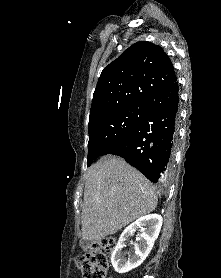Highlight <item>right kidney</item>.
<instances>
[{
    "label": "right kidney",
    "instance_id": "obj_1",
    "mask_svg": "<svg viewBox=\"0 0 221 278\" xmlns=\"http://www.w3.org/2000/svg\"><path fill=\"white\" fill-rule=\"evenodd\" d=\"M162 221V217L158 214L146 215L136 220L123 231L111 256V262L116 272L120 274L126 273L143 263L159 235ZM140 228L143 229V233L136 237L137 243L134 244V251L126 258L125 253L122 251L125 246L124 243Z\"/></svg>",
    "mask_w": 221,
    "mask_h": 278
}]
</instances>
